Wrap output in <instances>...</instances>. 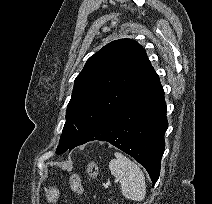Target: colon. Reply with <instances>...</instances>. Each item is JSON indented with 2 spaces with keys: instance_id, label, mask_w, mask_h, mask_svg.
Wrapping results in <instances>:
<instances>
[{
  "instance_id": "obj_1",
  "label": "colon",
  "mask_w": 212,
  "mask_h": 204,
  "mask_svg": "<svg viewBox=\"0 0 212 204\" xmlns=\"http://www.w3.org/2000/svg\"><path fill=\"white\" fill-rule=\"evenodd\" d=\"M86 172L92 179H95L98 175V166L94 161H90L86 165ZM70 186L73 192L76 194H82L84 189L81 182V177L78 173H74L70 177Z\"/></svg>"
}]
</instances>
